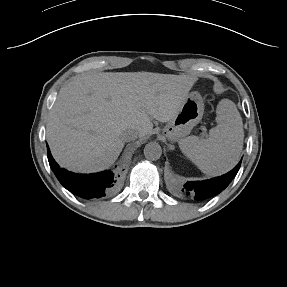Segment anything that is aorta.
<instances>
[{
  "mask_svg": "<svg viewBox=\"0 0 287 287\" xmlns=\"http://www.w3.org/2000/svg\"><path fill=\"white\" fill-rule=\"evenodd\" d=\"M162 155V148L157 142H149L145 145L144 156L148 160H158Z\"/></svg>",
  "mask_w": 287,
  "mask_h": 287,
  "instance_id": "obj_1",
  "label": "aorta"
}]
</instances>
